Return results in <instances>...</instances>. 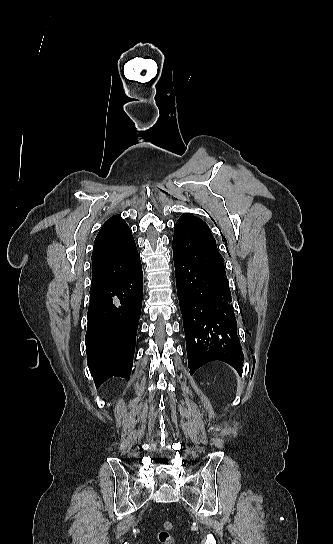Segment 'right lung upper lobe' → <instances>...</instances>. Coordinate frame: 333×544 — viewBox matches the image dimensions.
Listing matches in <instances>:
<instances>
[{
  "label": "right lung upper lobe",
  "mask_w": 333,
  "mask_h": 544,
  "mask_svg": "<svg viewBox=\"0 0 333 544\" xmlns=\"http://www.w3.org/2000/svg\"><path fill=\"white\" fill-rule=\"evenodd\" d=\"M139 262L136 244L125 220L120 215L111 217L95 239L90 294L114 284Z\"/></svg>",
  "instance_id": "right-lung-upper-lobe-1"
}]
</instances>
